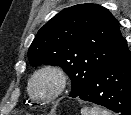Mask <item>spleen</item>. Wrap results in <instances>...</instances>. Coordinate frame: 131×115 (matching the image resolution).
I'll return each mask as SVG.
<instances>
[{
	"mask_svg": "<svg viewBox=\"0 0 131 115\" xmlns=\"http://www.w3.org/2000/svg\"><path fill=\"white\" fill-rule=\"evenodd\" d=\"M81 115H112V114L104 109L84 107L81 109Z\"/></svg>",
	"mask_w": 131,
	"mask_h": 115,
	"instance_id": "1",
	"label": "spleen"
}]
</instances>
